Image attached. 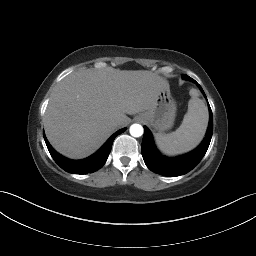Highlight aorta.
<instances>
[{
    "mask_svg": "<svg viewBox=\"0 0 256 256\" xmlns=\"http://www.w3.org/2000/svg\"><path fill=\"white\" fill-rule=\"evenodd\" d=\"M129 131L133 137H140L143 135L144 129L140 124H132Z\"/></svg>",
    "mask_w": 256,
    "mask_h": 256,
    "instance_id": "aorta-1",
    "label": "aorta"
}]
</instances>
